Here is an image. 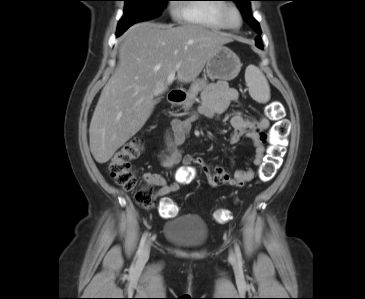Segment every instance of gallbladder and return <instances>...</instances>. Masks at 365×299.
Listing matches in <instances>:
<instances>
[{
    "instance_id": "obj_1",
    "label": "gallbladder",
    "mask_w": 365,
    "mask_h": 299,
    "mask_svg": "<svg viewBox=\"0 0 365 299\" xmlns=\"http://www.w3.org/2000/svg\"><path fill=\"white\" fill-rule=\"evenodd\" d=\"M159 102H160V99L159 98L155 100V104H157Z\"/></svg>"
}]
</instances>
